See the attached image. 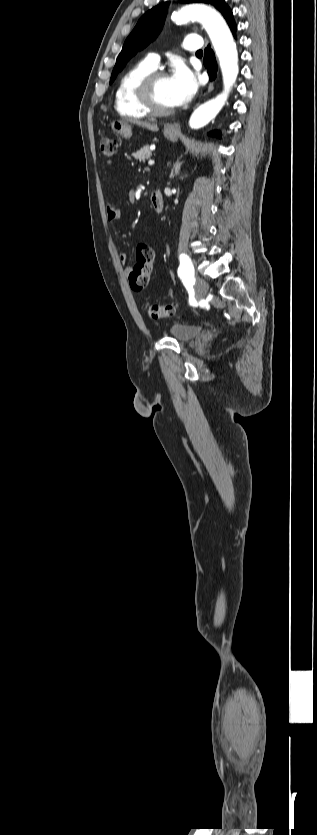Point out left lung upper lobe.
<instances>
[{
	"mask_svg": "<svg viewBox=\"0 0 317 835\" xmlns=\"http://www.w3.org/2000/svg\"><path fill=\"white\" fill-rule=\"evenodd\" d=\"M185 3H205L213 5L225 17L230 8L224 0H181ZM169 2L161 3L147 11L137 22L131 34L127 37L122 51L119 54L113 69L110 83L114 81L117 74L125 67L126 63L138 51L145 48L160 33L167 15Z\"/></svg>",
	"mask_w": 317,
	"mask_h": 835,
	"instance_id": "1",
	"label": "left lung upper lobe"
}]
</instances>
